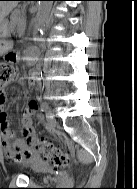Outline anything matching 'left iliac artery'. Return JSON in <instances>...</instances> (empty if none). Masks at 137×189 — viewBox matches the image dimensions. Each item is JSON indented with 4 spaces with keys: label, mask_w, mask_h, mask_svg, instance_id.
<instances>
[{
    "label": "left iliac artery",
    "mask_w": 137,
    "mask_h": 189,
    "mask_svg": "<svg viewBox=\"0 0 137 189\" xmlns=\"http://www.w3.org/2000/svg\"><path fill=\"white\" fill-rule=\"evenodd\" d=\"M47 107H48V104H47V103H44V104L41 106V111H44Z\"/></svg>",
    "instance_id": "left-iliac-artery-1"
}]
</instances>
